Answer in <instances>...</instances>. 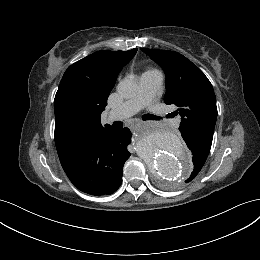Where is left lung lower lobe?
Instances as JSON below:
<instances>
[{"instance_id": "1", "label": "left lung lower lobe", "mask_w": 260, "mask_h": 260, "mask_svg": "<svg viewBox=\"0 0 260 260\" xmlns=\"http://www.w3.org/2000/svg\"><path fill=\"white\" fill-rule=\"evenodd\" d=\"M184 141L186 142L188 148L192 151L193 161L195 164H197L196 163L197 158L203 157V158L207 159L209 151H207L201 145H199L198 143H196L188 138H184ZM198 173L199 172L197 170L193 169V172L191 173L190 177L185 182H190L191 180H193Z\"/></svg>"}]
</instances>
